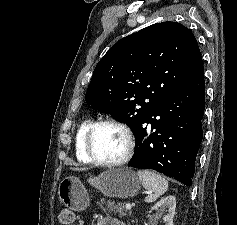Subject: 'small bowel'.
Listing matches in <instances>:
<instances>
[{"label": "small bowel", "mask_w": 237, "mask_h": 225, "mask_svg": "<svg viewBox=\"0 0 237 225\" xmlns=\"http://www.w3.org/2000/svg\"><path fill=\"white\" fill-rule=\"evenodd\" d=\"M98 225H125L116 218L106 217L99 221Z\"/></svg>", "instance_id": "c3829d8e"}]
</instances>
